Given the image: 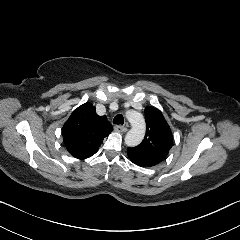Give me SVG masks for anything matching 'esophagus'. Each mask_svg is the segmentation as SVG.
<instances>
[{
  "mask_svg": "<svg viewBox=\"0 0 240 240\" xmlns=\"http://www.w3.org/2000/svg\"><path fill=\"white\" fill-rule=\"evenodd\" d=\"M114 130L116 132L125 133L127 131V128L125 126H122V125H116L114 127Z\"/></svg>",
  "mask_w": 240,
  "mask_h": 240,
  "instance_id": "esophagus-1",
  "label": "esophagus"
}]
</instances>
